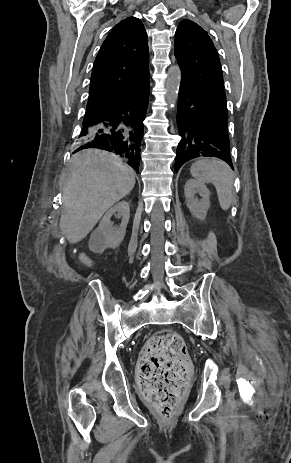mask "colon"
<instances>
[{
    "instance_id": "colon-1",
    "label": "colon",
    "mask_w": 291,
    "mask_h": 463,
    "mask_svg": "<svg viewBox=\"0 0 291 463\" xmlns=\"http://www.w3.org/2000/svg\"><path fill=\"white\" fill-rule=\"evenodd\" d=\"M189 374L184 339L172 330L157 332L142 350L138 375L143 396L157 406L162 418L174 415L177 398Z\"/></svg>"
}]
</instances>
